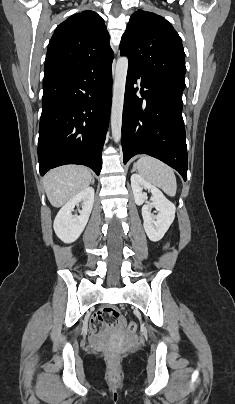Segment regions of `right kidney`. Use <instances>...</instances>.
<instances>
[{
    "instance_id": "ca27d5eb",
    "label": "right kidney",
    "mask_w": 235,
    "mask_h": 404,
    "mask_svg": "<svg viewBox=\"0 0 235 404\" xmlns=\"http://www.w3.org/2000/svg\"><path fill=\"white\" fill-rule=\"evenodd\" d=\"M79 203L82 204L80 215H72ZM94 203V189L87 187L70 199L58 212L54 220V231L65 243H72L83 232L91 214Z\"/></svg>"
}]
</instances>
